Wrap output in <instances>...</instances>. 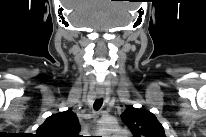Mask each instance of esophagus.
I'll use <instances>...</instances> for the list:
<instances>
[{"instance_id":"obj_1","label":"esophagus","mask_w":206,"mask_h":137,"mask_svg":"<svg viewBox=\"0 0 206 137\" xmlns=\"http://www.w3.org/2000/svg\"><path fill=\"white\" fill-rule=\"evenodd\" d=\"M103 96H104V93H103V92H98V93H97V97H98V98H102Z\"/></svg>"}]
</instances>
